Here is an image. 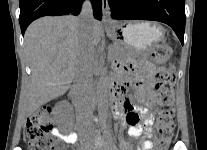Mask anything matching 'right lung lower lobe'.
Wrapping results in <instances>:
<instances>
[{"label": "right lung lower lobe", "instance_id": "1", "mask_svg": "<svg viewBox=\"0 0 207 150\" xmlns=\"http://www.w3.org/2000/svg\"><path fill=\"white\" fill-rule=\"evenodd\" d=\"M84 0H19L22 35L28 25L42 16L77 15ZM94 17L102 19V0H91Z\"/></svg>", "mask_w": 207, "mask_h": 150}]
</instances>
